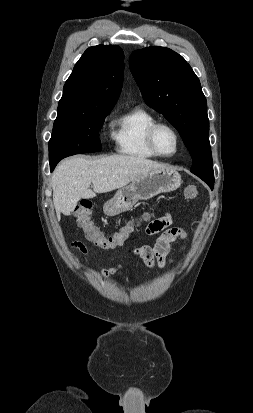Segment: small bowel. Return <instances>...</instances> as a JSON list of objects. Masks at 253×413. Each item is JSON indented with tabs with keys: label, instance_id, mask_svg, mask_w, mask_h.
I'll use <instances>...</instances> for the list:
<instances>
[{
	"label": "small bowel",
	"instance_id": "1",
	"mask_svg": "<svg viewBox=\"0 0 253 413\" xmlns=\"http://www.w3.org/2000/svg\"><path fill=\"white\" fill-rule=\"evenodd\" d=\"M137 228L140 225V221L136 222ZM172 224V217L169 213H165L163 216L156 218L149 222L146 227V233L148 235H155L161 233L156 243L153 246L143 245L135 250V253L144 261V263L150 267L163 268L172 260L168 259V254L171 249L172 243L177 239H185L186 233L178 227H170ZM73 247L83 254L88 253L87 247L83 243H75ZM121 266L116 265L107 269H104L102 274L104 277L114 275L120 271Z\"/></svg>",
	"mask_w": 253,
	"mask_h": 413
}]
</instances>
